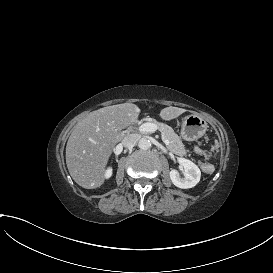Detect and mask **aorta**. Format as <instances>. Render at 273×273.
<instances>
[{
    "instance_id": "762f6f07",
    "label": "aorta",
    "mask_w": 273,
    "mask_h": 273,
    "mask_svg": "<svg viewBox=\"0 0 273 273\" xmlns=\"http://www.w3.org/2000/svg\"><path fill=\"white\" fill-rule=\"evenodd\" d=\"M138 146L141 150H148L151 148V142L147 138H141L139 140Z\"/></svg>"
}]
</instances>
